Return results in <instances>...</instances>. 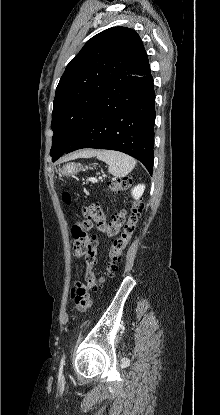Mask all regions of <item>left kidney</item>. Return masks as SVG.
Instances as JSON below:
<instances>
[{
	"label": "left kidney",
	"mask_w": 220,
	"mask_h": 415,
	"mask_svg": "<svg viewBox=\"0 0 220 415\" xmlns=\"http://www.w3.org/2000/svg\"><path fill=\"white\" fill-rule=\"evenodd\" d=\"M144 189H145V185H141V184H139V185H137V186H135L133 189H132V196H133V198L135 199V200H138V199H140V197L142 196V194H143V192H144Z\"/></svg>",
	"instance_id": "obj_1"
}]
</instances>
